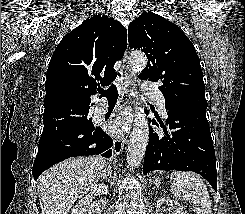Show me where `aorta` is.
<instances>
[{
	"mask_svg": "<svg viewBox=\"0 0 245 214\" xmlns=\"http://www.w3.org/2000/svg\"><path fill=\"white\" fill-rule=\"evenodd\" d=\"M129 61L133 70L139 73L146 67L147 57L142 52H132ZM136 111L137 114L127 147L126 161L130 171L140 165L149 140V125L144 108L136 106Z\"/></svg>",
	"mask_w": 245,
	"mask_h": 214,
	"instance_id": "aorta-1",
	"label": "aorta"
}]
</instances>
